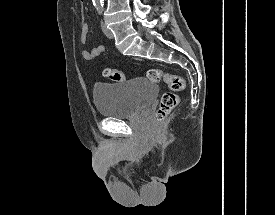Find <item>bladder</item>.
<instances>
[{
	"instance_id": "obj_1",
	"label": "bladder",
	"mask_w": 275,
	"mask_h": 215,
	"mask_svg": "<svg viewBox=\"0 0 275 215\" xmlns=\"http://www.w3.org/2000/svg\"><path fill=\"white\" fill-rule=\"evenodd\" d=\"M157 95V85L144 77L126 82L100 83L93 90L98 114L114 119L133 117L148 107Z\"/></svg>"
}]
</instances>
